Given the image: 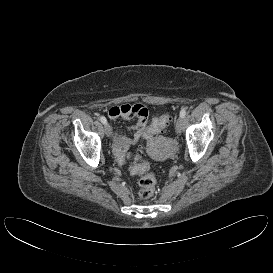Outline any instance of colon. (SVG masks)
<instances>
[{"mask_svg": "<svg viewBox=\"0 0 273 273\" xmlns=\"http://www.w3.org/2000/svg\"><path fill=\"white\" fill-rule=\"evenodd\" d=\"M172 118L169 114H162L155 118L150 126L144 132L145 138H152L161 133L171 122ZM130 172L139 176L138 194L142 199H149L156 193V176L150 170L149 163L144 159V154L139 151L134 162L130 166Z\"/></svg>", "mask_w": 273, "mask_h": 273, "instance_id": "colon-1", "label": "colon"}]
</instances>
